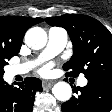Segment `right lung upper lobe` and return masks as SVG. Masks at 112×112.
I'll list each match as a JSON object with an SVG mask.
<instances>
[{"mask_svg":"<svg viewBox=\"0 0 112 112\" xmlns=\"http://www.w3.org/2000/svg\"><path fill=\"white\" fill-rule=\"evenodd\" d=\"M43 21L42 18L0 16V46L21 47L25 32L31 26Z\"/></svg>","mask_w":112,"mask_h":112,"instance_id":"cb5924a9","label":"right lung upper lobe"}]
</instances>
